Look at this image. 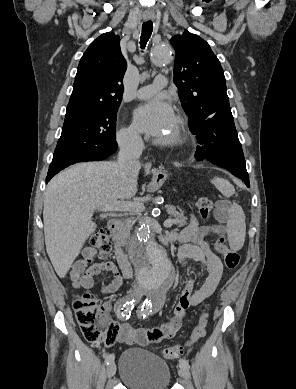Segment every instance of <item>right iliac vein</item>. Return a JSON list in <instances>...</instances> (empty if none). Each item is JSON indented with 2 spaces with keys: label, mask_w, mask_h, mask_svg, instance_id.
I'll return each mask as SVG.
<instances>
[{
  "label": "right iliac vein",
  "mask_w": 296,
  "mask_h": 389,
  "mask_svg": "<svg viewBox=\"0 0 296 389\" xmlns=\"http://www.w3.org/2000/svg\"><path fill=\"white\" fill-rule=\"evenodd\" d=\"M115 372H116V365H115V363L111 362L107 366V376L110 378V377L114 376Z\"/></svg>",
  "instance_id": "right-iliac-vein-1"
}]
</instances>
